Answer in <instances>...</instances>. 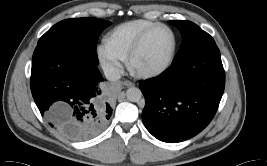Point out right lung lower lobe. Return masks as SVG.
I'll return each instance as SVG.
<instances>
[{
  "instance_id": "obj_1",
  "label": "right lung lower lobe",
  "mask_w": 267,
  "mask_h": 166,
  "mask_svg": "<svg viewBox=\"0 0 267 166\" xmlns=\"http://www.w3.org/2000/svg\"><path fill=\"white\" fill-rule=\"evenodd\" d=\"M97 64L53 42L38 44L32 59L31 91L42 116L62 134L87 139L101 132L112 114L104 103Z\"/></svg>"
}]
</instances>
